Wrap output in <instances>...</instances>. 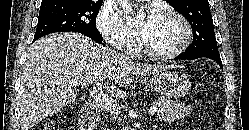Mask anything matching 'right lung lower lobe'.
<instances>
[{
  "label": "right lung lower lobe",
  "mask_w": 249,
  "mask_h": 130,
  "mask_svg": "<svg viewBox=\"0 0 249 130\" xmlns=\"http://www.w3.org/2000/svg\"><path fill=\"white\" fill-rule=\"evenodd\" d=\"M38 38H34V40H33V42L35 41V40H37Z\"/></svg>",
  "instance_id": "98d812e1"
}]
</instances>
